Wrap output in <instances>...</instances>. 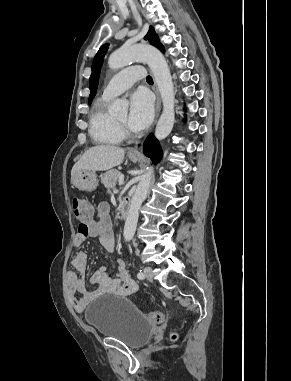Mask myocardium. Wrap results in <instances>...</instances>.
I'll use <instances>...</instances> for the list:
<instances>
[{"label": "myocardium", "mask_w": 291, "mask_h": 381, "mask_svg": "<svg viewBox=\"0 0 291 381\" xmlns=\"http://www.w3.org/2000/svg\"><path fill=\"white\" fill-rule=\"evenodd\" d=\"M115 122H116L120 132L122 133V135H132V132L130 131V129L128 128V126L126 124L120 122L117 119H115Z\"/></svg>", "instance_id": "f54148a6"}]
</instances>
